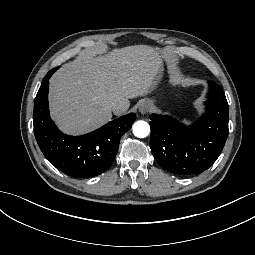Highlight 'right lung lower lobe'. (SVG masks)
<instances>
[{"mask_svg": "<svg viewBox=\"0 0 255 255\" xmlns=\"http://www.w3.org/2000/svg\"><path fill=\"white\" fill-rule=\"evenodd\" d=\"M49 73L44 77L34 103V134L39 147L48 161L67 175H100L113 163L120 138L131 128L136 116L134 113L122 116L83 136L65 135L49 116Z\"/></svg>", "mask_w": 255, "mask_h": 255, "instance_id": "obj_1", "label": "right lung lower lobe"}]
</instances>
